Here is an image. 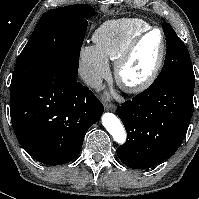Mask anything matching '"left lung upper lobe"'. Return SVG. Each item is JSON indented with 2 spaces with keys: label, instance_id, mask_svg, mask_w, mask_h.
<instances>
[{
  "label": "left lung upper lobe",
  "instance_id": "obj_1",
  "mask_svg": "<svg viewBox=\"0 0 199 199\" xmlns=\"http://www.w3.org/2000/svg\"><path fill=\"white\" fill-rule=\"evenodd\" d=\"M162 27L166 36V57L162 71L151 86L177 79L195 80L190 55L185 44L169 23L164 22Z\"/></svg>",
  "mask_w": 199,
  "mask_h": 199
}]
</instances>
